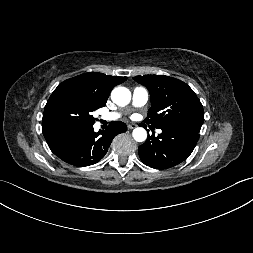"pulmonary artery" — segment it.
<instances>
[{
	"label": "pulmonary artery",
	"instance_id": "pulmonary-artery-1",
	"mask_svg": "<svg viewBox=\"0 0 253 253\" xmlns=\"http://www.w3.org/2000/svg\"><path fill=\"white\" fill-rule=\"evenodd\" d=\"M149 93L145 87L137 86L132 91V105L135 107H141L148 101ZM121 114L118 112L106 113L101 116L103 120L112 121L120 118ZM160 132V130H158Z\"/></svg>",
	"mask_w": 253,
	"mask_h": 253
}]
</instances>
